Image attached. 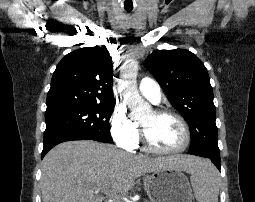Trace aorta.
<instances>
[{"mask_svg": "<svg viewBox=\"0 0 255 202\" xmlns=\"http://www.w3.org/2000/svg\"><path fill=\"white\" fill-rule=\"evenodd\" d=\"M137 71L138 62L136 60H129L122 67L120 75V85L124 100L131 111V117L135 119H139L151 111V106L144 101L137 89Z\"/></svg>", "mask_w": 255, "mask_h": 202, "instance_id": "1", "label": "aorta"}]
</instances>
